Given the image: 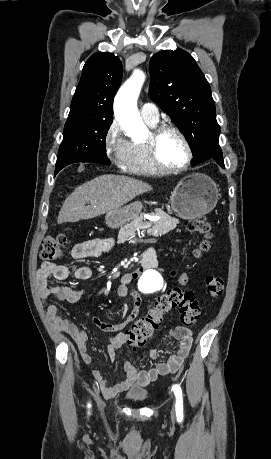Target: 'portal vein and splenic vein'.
<instances>
[{
	"label": "portal vein and splenic vein",
	"instance_id": "obj_1",
	"mask_svg": "<svg viewBox=\"0 0 271 459\" xmlns=\"http://www.w3.org/2000/svg\"><path fill=\"white\" fill-rule=\"evenodd\" d=\"M151 225H152V224L148 221L147 223H144V226H143V225H140L139 227H140V228H143V229H144V228H151Z\"/></svg>",
	"mask_w": 271,
	"mask_h": 459
}]
</instances>
